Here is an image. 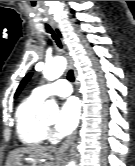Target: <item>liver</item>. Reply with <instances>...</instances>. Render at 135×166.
Masks as SVG:
<instances>
[{
	"label": "liver",
	"instance_id": "liver-1",
	"mask_svg": "<svg viewBox=\"0 0 135 166\" xmlns=\"http://www.w3.org/2000/svg\"><path fill=\"white\" fill-rule=\"evenodd\" d=\"M49 150H50L49 147H43V146H28V147L18 148L10 152L7 162L10 161L15 156L23 157L24 155H29L34 164L40 163L41 161H44L43 158L47 156L46 152Z\"/></svg>",
	"mask_w": 135,
	"mask_h": 166
}]
</instances>
